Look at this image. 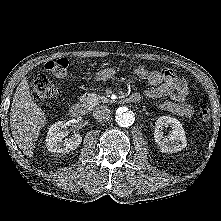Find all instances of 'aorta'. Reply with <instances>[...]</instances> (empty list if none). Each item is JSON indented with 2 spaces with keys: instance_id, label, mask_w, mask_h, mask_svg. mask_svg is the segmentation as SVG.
<instances>
[{
  "instance_id": "aorta-1",
  "label": "aorta",
  "mask_w": 221,
  "mask_h": 221,
  "mask_svg": "<svg viewBox=\"0 0 221 221\" xmlns=\"http://www.w3.org/2000/svg\"><path fill=\"white\" fill-rule=\"evenodd\" d=\"M135 121V115L133 111L127 108H119L117 111L116 122L121 127H129Z\"/></svg>"
}]
</instances>
